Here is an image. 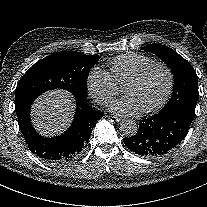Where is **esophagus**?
I'll use <instances>...</instances> for the list:
<instances>
[{
    "instance_id": "esophagus-1",
    "label": "esophagus",
    "mask_w": 207,
    "mask_h": 207,
    "mask_svg": "<svg viewBox=\"0 0 207 207\" xmlns=\"http://www.w3.org/2000/svg\"><path fill=\"white\" fill-rule=\"evenodd\" d=\"M107 117L114 125H119L121 123V118L119 116L108 115Z\"/></svg>"
}]
</instances>
